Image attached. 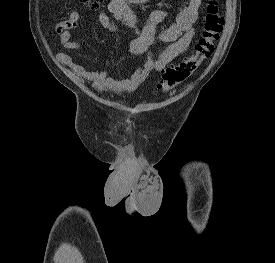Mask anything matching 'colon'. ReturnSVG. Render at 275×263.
<instances>
[{
	"label": "colon",
	"instance_id": "5ec220e1",
	"mask_svg": "<svg viewBox=\"0 0 275 263\" xmlns=\"http://www.w3.org/2000/svg\"><path fill=\"white\" fill-rule=\"evenodd\" d=\"M96 10L102 0H80ZM224 19L221 15L218 0H209L206 8V17L203 24L202 35L195 45L191 55L175 65L168 66L162 73L156 89L160 92H169L177 85L183 83L196 73L200 66L208 60L215 50L223 29Z\"/></svg>",
	"mask_w": 275,
	"mask_h": 263
}]
</instances>
